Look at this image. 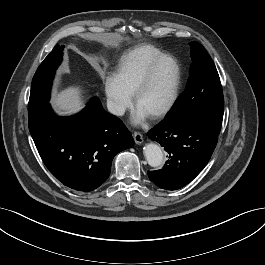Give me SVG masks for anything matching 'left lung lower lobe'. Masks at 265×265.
Segmentation results:
<instances>
[{"label":"left lung lower lobe","mask_w":265,"mask_h":265,"mask_svg":"<svg viewBox=\"0 0 265 265\" xmlns=\"http://www.w3.org/2000/svg\"><path fill=\"white\" fill-rule=\"evenodd\" d=\"M218 134L206 123L190 117L164 119L148 132L169 154L157 171L148 172L159 188L176 190L191 182L206 166L218 141Z\"/></svg>","instance_id":"left-lung-lower-lobe-1"}]
</instances>
